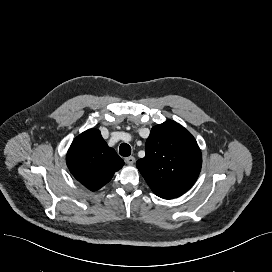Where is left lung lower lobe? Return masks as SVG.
Returning <instances> with one entry per match:
<instances>
[{"label":"left lung lower lobe","mask_w":272,"mask_h":272,"mask_svg":"<svg viewBox=\"0 0 272 272\" xmlns=\"http://www.w3.org/2000/svg\"><path fill=\"white\" fill-rule=\"evenodd\" d=\"M161 198H164V199H172V197H168V196H159Z\"/></svg>","instance_id":"0a47b994"}]
</instances>
